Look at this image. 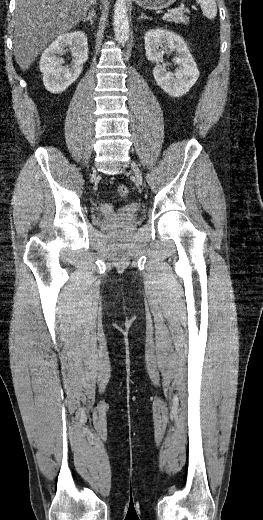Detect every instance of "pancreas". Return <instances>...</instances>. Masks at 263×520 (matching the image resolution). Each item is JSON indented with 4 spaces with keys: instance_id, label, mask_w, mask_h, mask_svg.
<instances>
[{
    "instance_id": "1",
    "label": "pancreas",
    "mask_w": 263,
    "mask_h": 520,
    "mask_svg": "<svg viewBox=\"0 0 263 520\" xmlns=\"http://www.w3.org/2000/svg\"><path fill=\"white\" fill-rule=\"evenodd\" d=\"M185 12L189 13V10L188 9H185L184 11L179 10V9L173 10L170 13V15L165 19H167V21H169V22L182 23L184 25H187L189 23V17L184 15Z\"/></svg>"
}]
</instances>
